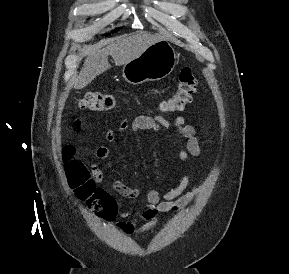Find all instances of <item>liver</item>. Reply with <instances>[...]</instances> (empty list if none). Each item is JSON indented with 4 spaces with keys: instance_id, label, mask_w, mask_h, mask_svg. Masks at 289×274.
Wrapping results in <instances>:
<instances>
[{
    "instance_id": "liver-1",
    "label": "liver",
    "mask_w": 289,
    "mask_h": 274,
    "mask_svg": "<svg viewBox=\"0 0 289 274\" xmlns=\"http://www.w3.org/2000/svg\"><path fill=\"white\" fill-rule=\"evenodd\" d=\"M161 38L148 33L123 35L107 42L102 47L96 45L86 50V59L79 75L73 80L75 89H82L89 85L98 75L108 70L111 65L108 56L111 55L116 66L125 65L138 57L150 45Z\"/></svg>"
}]
</instances>
